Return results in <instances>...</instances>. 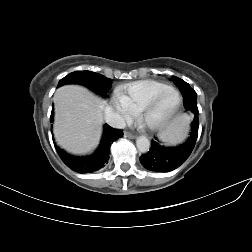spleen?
<instances>
[{
	"label": "spleen",
	"instance_id": "3e777b00",
	"mask_svg": "<svg viewBox=\"0 0 252 252\" xmlns=\"http://www.w3.org/2000/svg\"><path fill=\"white\" fill-rule=\"evenodd\" d=\"M186 131L187 119L185 117H179L172 123L168 130L161 135V138L164 141L176 143L185 137Z\"/></svg>",
	"mask_w": 252,
	"mask_h": 252
}]
</instances>
